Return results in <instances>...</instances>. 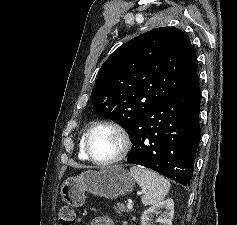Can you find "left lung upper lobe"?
<instances>
[{
  "instance_id": "obj_1",
  "label": "left lung upper lobe",
  "mask_w": 237,
  "mask_h": 225,
  "mask_svg": "<svg viewBox=\"0 0 237 225\" xmlns=\"http://www.w3.org/2000/svg\"><path fill=\"white\" fill-rule=\"evenodd\" d=\"M198 84L196 53L180 29L161 27L121 45L101 66L90 101L128 132L156 104Z\"/></svg>"
}]
</instances>
